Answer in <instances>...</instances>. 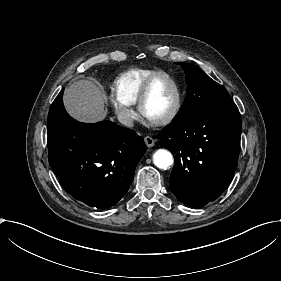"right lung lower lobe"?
<instances>
[{
	"mask_svg": "<svg viewBox=\"0 0 281 281\" xmlns=\"http://www.w3.org/2000/svg\"><path fill=\"white\" fill-rule=\"evenodd\" d=\"M63 91L48 115L50 166L75 199L98 209L110 208L129 189L145 143L134 131L110 121L74 120L64 109Z\"/></svg>",
	"mask_w": 281,
	"mask_h": 281,
	"instance_id": "98d812e1",
	"label": "right lung lower lobe"
}]
</instances>
